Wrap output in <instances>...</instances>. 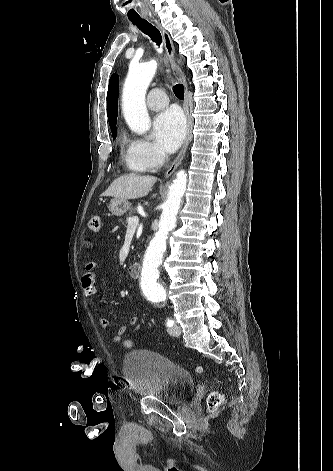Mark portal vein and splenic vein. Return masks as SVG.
Here are the masks:
<instances>
[{"label":"portal vein and splenic vein","instance_id":"portal-vein-and-splenic-vein-1","mask_svg":"<svg viewBox=\"0 0 333 471\" xmlns=\"http://www.w3.org/2000/svg\"><path fill=\"white\" fill-rule=\"evenodd\" d=\"M128 225H135L137 226L139 223V218L137 216L129 217L127 220Z\"/></svg>","mask_w":333,"mask_h":471}]
</instances>
